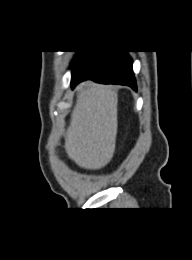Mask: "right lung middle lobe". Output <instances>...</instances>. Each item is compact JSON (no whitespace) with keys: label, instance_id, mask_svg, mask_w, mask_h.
Segmentation results:
<instances>
[{"label":"right lung middle lobe","instance_id":"right-lung-middle-lobe-1","mask_svg":"<svg viewBox=\"0 0 192 260\" xmlns=\"http://www.w3.org/2000/svg\"><path fill=\"white\" fill-rule=\"evenodd\" d=\"M82 54H84V51H79L76 57L74 58L73 62H75Z\"/></svg>","mask_w":192,"mask_h":260}]
</instances>
